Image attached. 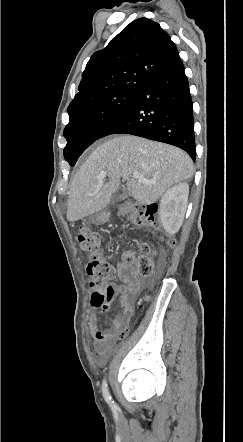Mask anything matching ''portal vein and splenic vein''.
<instances>
[{"instance_id": "portal-vein-and-splenic-vein-1", "label": "portal vein and splenic vein", "mask_w": 243, "mask_h": 442, "mask_svg": "<svg viewBox=\"0 0 243 442\" xmlns=\"http://www.w3.org/2000/svg\"><path fill=\"white\" fill-rule=\"evenodd\" d=\"M106 176H107V172L103 171V172H101V173L99 174L98 178H99V180L102 181ZM132 177L135 178V179H141V180H143L144 183H147V184L150 183L149 181L143 179V178L140 176L139 172H133Z\"/></svg>"}]
</instances>
